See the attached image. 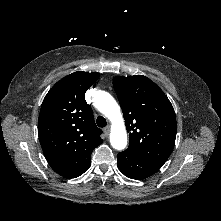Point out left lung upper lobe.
I'll return each mask as SVG.
<instances>
[{
  "mask_svg": "<svg viewBox=\"0 0 221 221\" xmlns=\"http://www.w3.org/2000/svg\"><path fill=\"white\" fill-rule=\"evenodd\" d=\"M113 86L129 132L127 149L163 165L173 150L177 131L169 99L142 75L114 77Z\"/></svg>",
  "mask_w": 221,
  "mask_h": 221,
  "instance_id": "left-lung-upper-lobe-1",
  "label": "left lung upper lobe"
}]
</instances>
